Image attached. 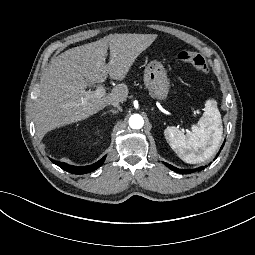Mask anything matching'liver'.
<instances>
[{
	"mask_svg": "<svg viewBox=\"0 0 255 255\" xmlns=\"http://www.w3.org/2000/svg\"><path fill=\"white\" fill-rule=\"evenodd\" d=\"M157 37V34L109 35L69 49L52 59L37 101V136L42 139L52 131L84 121L112 101L124 105L129 95V88L124 83L117 84L101 98L86 99L82 88L105 81L107 72L111 79H126L139 55ZM107 49L111 57L108 65L105 62Z\"/></svg>",
	"mask_w": 255,
	"mask_h": 255,
	"instance_id": "obj_1",
	"label": "liver"
}]
</instances>
